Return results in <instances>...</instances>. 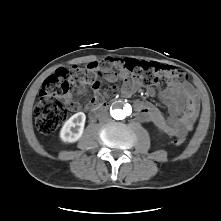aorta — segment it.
<instances>
[{
  "instance_id": "obj_1",
  "label": "aorta",
  "mask_w": 221,
  "mask_h": 221,
  "mask_svg": "<svg viewBox=\"0 0 221 221\" xmlns=\"http://www.w3.org/2000/svg\"><path fill=\"white\" fill-rule=\"evenodd\" d=\"M127 112L122 104L114 105L111 110V116L116 120H123Z\"/></svg>"
}]
</instances>
